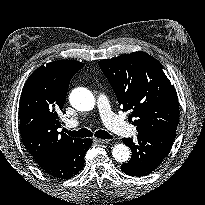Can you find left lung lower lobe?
<instances>
[{
  "label": "left lung lower lobe",
  "mask_w": 205,
  "mask_h": 205,
  "mask_svg": "<svg viewBox=\"0 0 205 205\" xmlns=\"http://www.w3.org/2000/svg\"><path fill=\"white\" fill-rule=\"evenodd\" d=\"M176 130L165 129L138 134V142L132 138L123 139L132 150L131 159L121 165L122 171L132 177L146 176L153 172L169 153Z\"/></svg>",
  "instance_id": "left-lung-lower-lobe-1"
}]
</instances>
